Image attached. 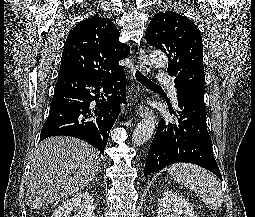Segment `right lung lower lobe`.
Listing matches in <instances>:
<instances>
[{"mask_svg":"<svg viewBox=\"0 0 255 217\" xmlns=\"http://www.w3.org/2000/svg\"><path fill=\"white\" fill-rule=\"evenodd\" d=\"M124 101V72L105 78L58 79L40 141L51 136H72L104 154L109 132Z\"/></svg>","mask_w":255,"mask_h":217,"instance_id":"1","label":"right lung lower lobe"}]
</instances>
